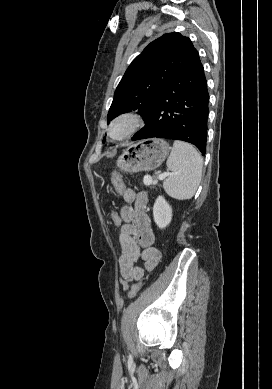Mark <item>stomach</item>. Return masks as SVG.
<instances>
[{
    "label": "stomach",
    "mask_w": 272,
    "mask_h": 389,
    "mask_svg": "<svg viewBox=\"0 0 272 389\" xmlns=\"http://www.w3.org/2000/svg\"><path fill=\"white\" fill-rule=\"evenodd\" d=\"M169 150L168 143L163 139H146L125 149L117 160V167L128 173L151 171L161 165Z\"/></svg>",
    "instance_id": "1"
}]
</instances>
